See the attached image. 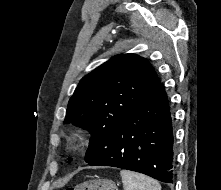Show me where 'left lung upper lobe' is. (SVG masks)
Wrapping results in <instances>:
<instances>
[{
  "label": "left lung upper lobe",
  "mask_w": 221,
  "mask_h": 190,
  "mask_svg": "<svg viewBox=\"0 0 221 190\" xmlns=\"http://www.w3.org/2000/svg\"><path fill=\"white\" fill-rule=\"evenodd\" d=\"M159 82L151 64L135 54L117 55L80 80L64 122L91 133L88 164L107 147L115 127L143 104Z\"/></svg>",
  "instance_id": "left-lung-upper-lobe-1"
}]
</instances>
